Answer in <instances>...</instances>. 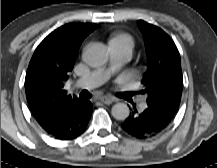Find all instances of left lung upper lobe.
<instances>
[{"mask_svg": "<svg viewBox=\"0 0 217 168\" xmlns=\"http://www.w3.org/2000/svg\"><path fill=\"white\" fill-rule=\"evenodd\" d=\"M148 56V69L143 76V93L147 103L164 107L175 114L183 89L181 60L173 40L162 29L143 20L138 21Z\"/></svg>", "mask_w": 217, "mask_h": 168, "instance_id": "obj_1", "label": "left lung upper lobe"}]
</instances>
